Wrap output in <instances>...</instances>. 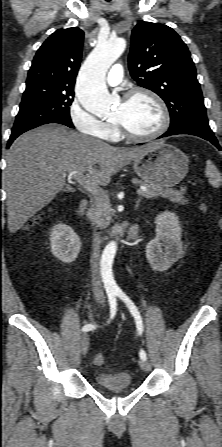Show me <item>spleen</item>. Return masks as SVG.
Wrapping results in <instances>:
<instances>
[{"instance_id":"3e777b00","label":"spleen","mask_w":222,"mask_h":447,"mask_svg":"<svg viewBox=\"0 0 222 447\" xmlns=\"http://www.w3.org/2000/svg\"><path fill=\"white\" fill-rule=\"evenodd\" d=\"M206 175L209 178V183L217 188L220 185V174L215 167V165L212 163V161L207 160L206 162Z\"/></svg>"}]
</instances>
